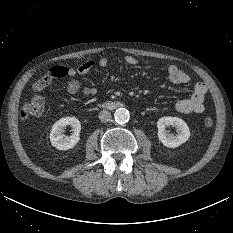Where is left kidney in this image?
I'll list each match as a JSON object with an SVG mask.
<instances>
[{
    "label": "left kidney",
    "instance_id": "5707ae66",
    "mask_svg": "<svg viewBox=\"0 0 233 233\" xmlns=\"http://www.w3.org/2000/svg\"><path fill=\"white\" fill-rule=\"evenodd\" d=\"M173 126L176 129L177 135L169 134L166 127ZM158 138L162 144L169 148H176L185 143L190 137V131L187 124L178 117H162L157 122Z\"/></svg>",
    "mask_w": 233,
    "mask_h": 233
}]
</instances>
